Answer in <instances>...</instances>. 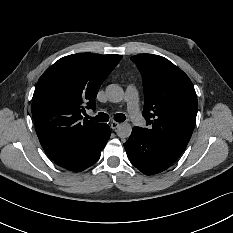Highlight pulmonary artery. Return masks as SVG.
<instances>
[{"instance_id": "obj_1", "label": "pulmonary artery", "mask_w": 233, "mask_h": 233, "mask_svg": "<svg viewBox=\"0 0 233 233\" xmlns=\"http://www.w3.org/2000/svg\"><path fill=\"white\" fill-rule=\"evenodd\" d=\"M125 101L127 103L128 115L134 126L140 127L144 124L145 119L139 109V93L137 88L130 84L125 91Z\"/></svg>"}]
</instances>
